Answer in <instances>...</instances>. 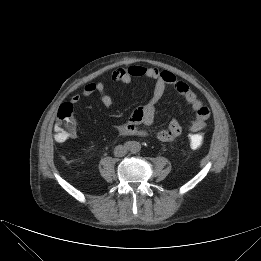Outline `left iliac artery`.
I'll list each match as a JSON object with an SVG mask.
<instances>
[{
  "label": "left iliac artery",
  "instance_id": "obj_1",
  "mask_svg": "<svg viewBox=\"0 0 261 261\" xmlns=\"http://www.w3.org/2000/svg\"><path fill=\"white\" fill-rule=\"evenodd\" d=\"M139 150H140L139 146H138V145H135V146H134V151H135V152H138Z\"/></svg>",
  "mask_w": 261,
  "mask_h": 261
}]
</instances>
